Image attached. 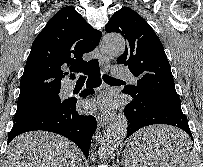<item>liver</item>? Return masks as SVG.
I'll list each match as a JSON object with an SVG mask.
<instances>
[{
    "label": "liver",
    "instance_id": "obj_1",
    "mask_svg": "<svg viewBox=\"0 0 203 167\" xmlns=\"http://www.w3.org/2000/svg\"><path fill=\"white\" fill-rule=\"evenodd\" d=\"M187 135L168 126H155L141 130L131 137V148L145 140L157 141L162 160H178L187 150L180 143ZM79 149L68 139L59 135L34 131L13 139L5 153L4 167H80Z\"/></svg>",
    "mask_w": 203,
    "mask_h": 167
}]
</instances>
